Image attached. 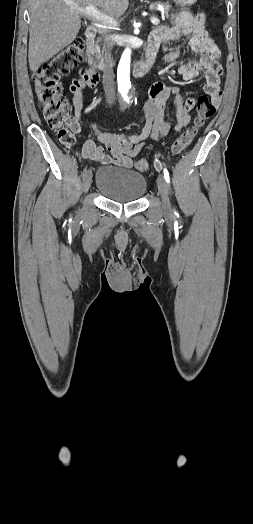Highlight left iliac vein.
<instances>
[{"mask_svg": "<svg viewBox=\"0 0 253 524\" xmlns=\"http://www.w3.org/2000/svg\"><path fill=\"white\" fill-rule=\"evenodd\" d=\"M157 186H158L159 193L161 195L164 213L166 215H170L172 210H171V204H170L169 196H168L169 188L162 174H160L157 178Z\"/></svg>", "mask_w": 253, "mask_h": 524, "instance_id": "left-iliac-vein-1", "label": "left iliac vein"}]
</instances>
